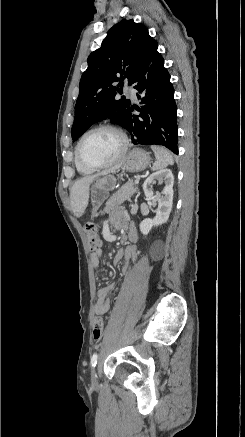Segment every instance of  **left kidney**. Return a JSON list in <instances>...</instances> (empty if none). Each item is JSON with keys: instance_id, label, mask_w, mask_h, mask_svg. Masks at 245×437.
I'll use <instances>...</instances> for the list:
<instances>
[{"instance_id": "obj_1", "label": "left kidney", "mask_w": 245, "mask_h": 437, "mask_svg": "<svg viewBox=\"0 0 245 437\" xmlns=\"http://www.w3.org/2000/svg\"><path fill=\"white\" fill-rule=\"evenodd\" d=\"M156 179L160 183H164V188L161 194L154 195L151 183ZM173 183L174 176L170 169H162L151 174L143 184V191L148 199H155L158 202L156 216L153 219H144L140 223V231L143 235H147L153 226H159L167 222L173 204Z\"/></svg>"}]
</instances>
